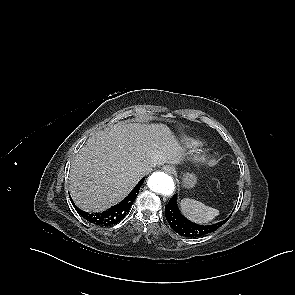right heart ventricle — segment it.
<instances>
[{"label": "right heart ventricle", "mask_w": 295, "mask_h": 295, "mask_svg": "<svg viewBox=\"0 0 295 295\" xmlns=\"http://www.w3.org/2000/svg\"><path fill=\"white\" fill-rule=\"evenodd\" d=\"M198 144L199 143L197 141H193V140L187 142L188 146H197Z\"/></svg>", "instance_id": "e07e8e85"}]
</instances>
